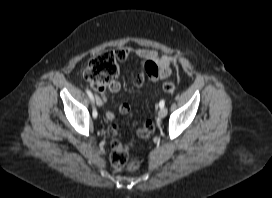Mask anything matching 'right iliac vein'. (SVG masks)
I'll return each instance as SVG.
<instances>
[{
    "label": "right iliac vein",
    "instance_id": "1",
    "mask_svg": "<svg viewBox=\"0 0 272 198\" xmlns=\"http://www.w3.org/2000/svg\"><path fill=\"white\" fill-rule=\"evenodd\" d=\"M96 102H97V105L98 106H101L102 104L99 102V99L98 98H96Z\"/></svg>",
    "mask_w": 272,
    "mask_h": 198
}]
</instances>
